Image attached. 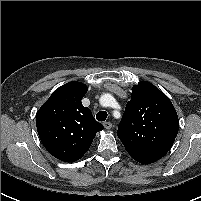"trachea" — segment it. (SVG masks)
<instances>
[{"instance_id":"obj_1","label":"trachea","mask_w":201,"mask_h":201,"mask_svg":"<svg viewBox=\"0 0 201 201\" xmlns=\"http://www.w3.org/2000/svg\"><path fill=\"white\" fill-rule=\"evenodd\" d=\"M107 118V113L105 111H100L96 114V119L98 121H105Z\"/></svg>"}]
</instances>
